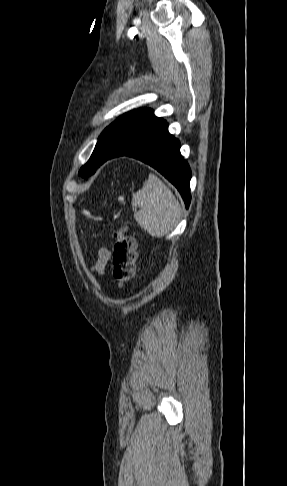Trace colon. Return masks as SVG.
Here are the masks:
<instances>
[{
    "label": "colon",
    "instance_id": "colon-1",
    "mask_svg": "<svg viewBox=\"0 0 287 486\" xmlns=\"http://www.w3.org/2000/svg\"><path fill=\"white\" fill-rule=\"evenodd\" d=\"M113 277L118 285H124L135 275L137 258L136 240L126 233L125 228L117 229L113 234Z\"/></svg>",
    "mask_w": 287,
    "mask_h": 486
}]
</instances>
